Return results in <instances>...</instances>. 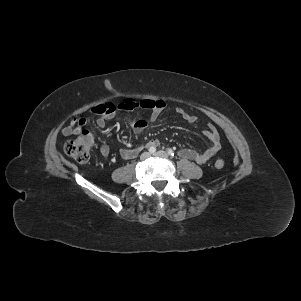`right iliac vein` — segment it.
<instances>
[{
  "mask_svg": "<svg viewBox=\"0 0 301 301\" xmlns=\"http://www.w3.org/2000/svg\"><path fill=\"white\" fill-rule=\"evenodd\" d=\"M149 156H150V153H149V152H144V153L141 154L140 159H141V160H145V159H147Z\"/></svg>",
  "mask_w": 301,
  "mask_h": 301,
  "instance_id": "right-iliac-vein-1",
  "label": "right iliac vein"
}]
</instances>
